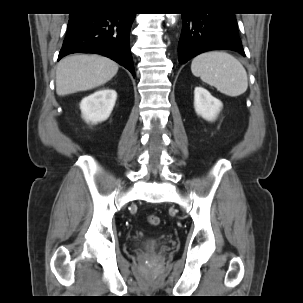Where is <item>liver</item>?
<instances>
[{"instance_id": "1", "label": "liver", "mask_w": 303, "mask_h": 303, "mask_svg": "<svg viewBox=\"0 0 303 303\" xmlns=\"http://www.w3.org/2000/svg\"><path fill=\"white\" fill-rule=\"evenodd\" d=\"M118 71V64L99 55H71L56 69V93L59 96L86 91L105 84Z\"/></svg>"}]
</instances>
